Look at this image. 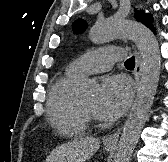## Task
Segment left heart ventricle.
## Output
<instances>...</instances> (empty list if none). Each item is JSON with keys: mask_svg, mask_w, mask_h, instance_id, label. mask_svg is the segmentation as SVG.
Segmentation results:
<instances>
[{"mask_svg": "<svg viewBox=\"0 0 168 162\" xmlns=\"http://www.w3.org/2000/svg\"><path fill=\"white\" fill-rule=\"evenodd\" d=\"M82 101L87 108H89L90 110L95 112L96 104H97V96L96 95L88 96V97L82 99Z\"/></svg>", "mask_w": 168, "mask_h": 162, "instance_id": "left-heart-ventricle-1", "label": "left heart ventricle"}]
</instances>
